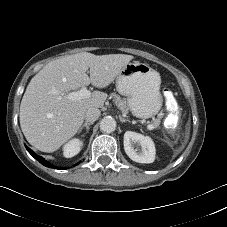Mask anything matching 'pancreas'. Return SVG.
<instances>
[{"mask_svg": "<svg viewBox=\"0 0 227 227\" xmlns=\"http://www.w3.org/2000/svg\"><path fill=\"white\" fill-rule=\"evenodd\" d=\"M111 97L113 98V101L116 103L118 108L122 111V113L127 114L129 108L127 106L126 101L121 99L120 96H118L116 94H112ZM159 122H160L159 119L154 120V126H158Z\"/></svg>", "mask_w": 227, "mask_h": 227, "instance_id": "obj_1", "label": "pancreas"}]
</instances>
